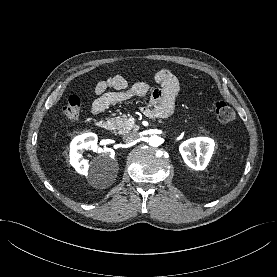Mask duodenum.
I'll return each mask as SVG.
<instances>
[{"instance_id": "duodenum-1", "label": "duodenum", "mask_w": 277, "mask_h": 277, "mask_svg": "<svg viewBox=\"0 0 277 277\" xmlns=\"http://www.w3.org/2000/svg\"><path fill=\"white\" fill-rule=\"evenodd\" d=\"M98 128L103 130H108L110 128V123L105 119H100L96 122Z\"/></svg>"}]
</instances>
